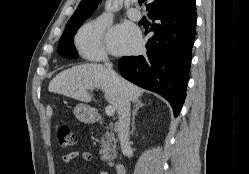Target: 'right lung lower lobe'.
I'll use <instances>...</instances> for the list:
<instances>
[{"label": "right lung lower lobe", "mask_w": 249, "mask_h": 174, "mask_svg": "<svg viewBox=\"0 0 249 174\" xmlns=\"http://www.w3.org/2000/svg\"><path fill=\"white\" fill-rule=\"evenodd\" d=\"M154 35L143 56L122 57L118 69L132 83L162 95L177 116L184 103L195 39V0H182L148 14Z\"/></svg>", "instance_id": "right-lung-lower-lobe-1"}]
</instances>
